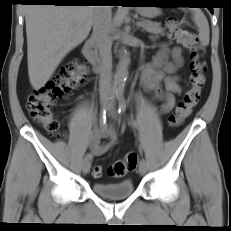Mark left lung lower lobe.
Segmentation results:
<instances>
[{
	"mask_svg": "<svg viewBox=\"0 0 231 231\" xmlns=\"http://www.w3.org/2000/svg\"><path fill=\"white\" fill-rule=\"evenodd\" d=\"M208 9L210 10L211 13H213V8L212 7H208Z\"/></svg>",
	"mask_w": 231,
	"mask_h": 231,
	"instance_id": "left-lung-lower-lobe-1",
	"label": "left lung lower lobe"
}]
</instances>
